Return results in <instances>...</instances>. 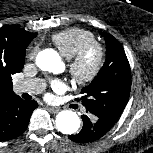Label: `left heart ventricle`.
<instances>
[{
  "label": "left heart ventricle",
  "mask_w": 153,
  "mask_h": 153,
  "mask_svg": "<svg viewBox=\"0 0 153 153\" xmlns=\"http://www.w3.org/2000/svg\"><path fill=\"white\" fill-rule=\"evenodd\" d=\"M95 59H96V52L95 51L90 52L83 64V68L85 71H88L93 66Z\"/></svg>",
  "instance_id": "left-heart-ventricle-1"
}]
</instances>
